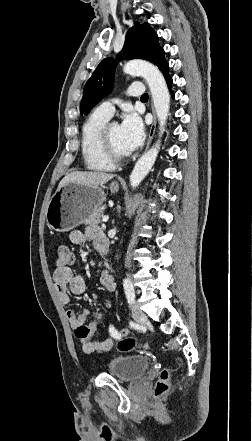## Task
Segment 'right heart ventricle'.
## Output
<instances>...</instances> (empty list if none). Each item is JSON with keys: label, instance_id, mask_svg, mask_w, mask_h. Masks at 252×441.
<instances>
[{"label": "right heart ventricle", "instance_id": "e07e8e85", "mask_svg": "<svg viewBox=\"0 0 252 441\" xmlns=\"http://www.w3.org/2000/svg\"><path fill=\"white\" fill-rule=\"evenodd\" d=\"M109 117L94 111L84 122L81 132V154L86 169L95 172H109L115 165L103 156L100 149V134Z\"/></svg>", "mask_w": 252, "mask_h": 441}]
</instances>
